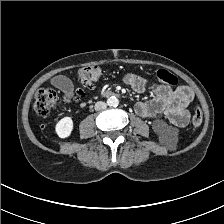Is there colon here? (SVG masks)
Returning <instances> with one entry per match:
<instances>
[{
  "label": "colon",
  "instance_id": "5ec220e1",
  "mask_svg": "<svg viewBox=\"0 0 224 224\" xmlns=\"http://www.w3.org/2000/svg\"><path fill=\"white\" fill-rule=\"evenodd\" d=\"M101 74L102 71L98 66L87 65L79 69L77 78L82 84L92 86L100 79ZM157 78L160 82L168 85L177 84V78L164 69L157 71ZM59 101L60 99L54 89L43 87L40 88L35 95L34 109L38 115L45 116L49 114L50 110L54 108ZM202 119V110L199 106H196L192 114V124L194 126H199L202 123Z\"/></svg>",
  "mask_w": 224,
  "mask_h": 224
}]
</instances>
